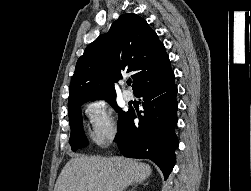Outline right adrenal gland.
<instances>
[{"label": "right adrenal gland", "instance_id": "right-adrenal-gland-1", "mask_svg": "<svg viewBox=\"0 0 251 191\" xmlns=\"http://www.w3.org/2000/svg\"><path fill=\"white\" fill-rule=\"evenodd\" d=\"M138 183H142V181H135V183H132L131 189H128V191H136Z\"/></svg>", "mask_w": 251, "mask_h": 191}]
</instances>
